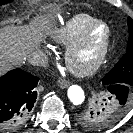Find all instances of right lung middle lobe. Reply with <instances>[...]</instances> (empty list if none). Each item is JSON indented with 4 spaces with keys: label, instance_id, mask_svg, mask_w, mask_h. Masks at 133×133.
<instances>
[{
    "label": "right lung middle lobe",
    "instance_id": "dd1d6c3e",
    "mask_svg": "<svg viewBox=\"0 0 133 133\" xmlns=\"http://www.w3.org/2000/svg\"><path fill=\"white\" fill-rule=\"evenodd\" d=\"M11 2V0H0V5Z\"/></svg>",
    "mask_w": 133,
    "mask_h": 133
}]
</instances>
